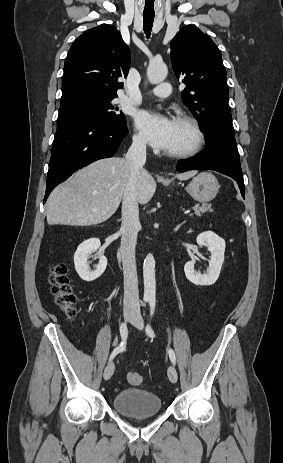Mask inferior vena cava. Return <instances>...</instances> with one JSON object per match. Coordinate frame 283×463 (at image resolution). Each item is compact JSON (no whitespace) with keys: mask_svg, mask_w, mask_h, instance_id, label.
I'll use <instances>...</instances> for the list:
<instances>
[{"mask_svg":"<svg viewBox=\"0 0 283 463\" xmlns=\"http://www.w3.org/2000/svg\"><path fill=\"white\" fill-rule=\"evenodd\" d=\"M146 144V140L141 137L133 138L132 145L125 157L130 167V178L123 194L120 229L122 233L120 252L124 275L123 304L125 311H138L140 309L135 247L140 229L138 186L146 161Z\"/></svg>","mask_w":283,"mask_h":463,"instance_id":"602c4592","label":"inferior vena cava"}]
</instances>
